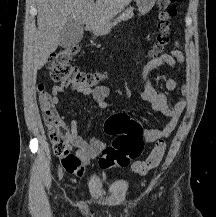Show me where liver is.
I'll return each instance as SVG.
<instances>
[{
    "instance_id": "6515ba94",
    "label": "liver",
    "mask_w": 216,
    "mask_h": 217,
    "mask_svg": "<svg viewBox=\"0 0 216 217\" xmlns=\"http://www.w3.org/2000/svg\"><path fill=\"white\" fill-rule=\"evenodd\" d=\"M132 0H37V38L34 65L41 69L59 45L60 33L69 18L100 26L121 12Z\"/></svg>"
}]
</instances>
